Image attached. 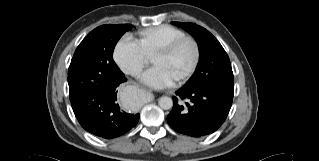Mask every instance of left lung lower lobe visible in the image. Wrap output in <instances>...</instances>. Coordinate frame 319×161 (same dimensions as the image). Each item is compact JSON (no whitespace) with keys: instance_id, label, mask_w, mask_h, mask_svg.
Segmentation results:
<instances>
[{"instance_id":"0a47b994","label":"left lung lower lobe","mask_w":319,"mask_h":161,"mask_svg":"<svg viewBox=\"0 0 319 161\" xmlns=\"http://www.w3.org/2000/svg\"><path fill=\"white\" fill-rule=\"evenodd\" d=\"M186 100V106L178 104L173 97V108L167 122L178 133L191 137H202L215 132L225 121L232 99L209 90L181 87L175 92Z\"/></svg>"}]
</instances>
